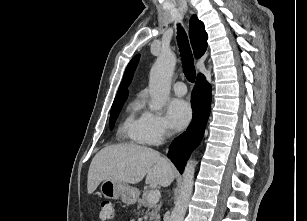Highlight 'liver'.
I'll return each instance as SVG.
<instances>
[{
  "instance_id": "liver-1",
  "label": "liver",
  "mask_w": 307,
  "mask_h": 221,
  "mask_svg": "<svg viewBox=\"0 0 307 221\" xmlns=\"http://www.w3.org/2000/svg\"><path fill=\"white\" fill-rule=\"evenodd\" d=\"M169 186L175 177L173 164L152 148L136 144H116L101 149L92 159L87 190L92 194L104 180Z\"/></svg>"
}]
</instances>
